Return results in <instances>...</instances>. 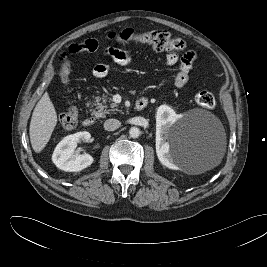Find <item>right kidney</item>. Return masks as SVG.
Masks as SVG:
<instances>
[{
	"label": "right kidney",
	"instance_id": "ca27d5eb",
	"mask_svg": "<svg viewBox=\"0 0 267 267\" xmlns=\"http://www.w3.org/2000/svg\"><path fill=\"white\" fill-rule=\"evenodd\" d=\"M91 135L89 132H77L64 137L56 146L52 161L57 168L67 172H78L89 167L94 159L89 154H75L74 150L80 141H88Z\"/></svg>",
	"mask_w": 267,
	"mask_h": 267
}]
</instances>
